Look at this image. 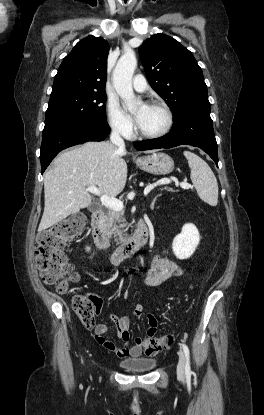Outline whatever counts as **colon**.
<instances>
[{
  "label": "colon",
  "mask_w": 264,
  "mask_h": 415,
  "mask_svg": "<svg viewBox=\"0 0 264 415\" xmlns=\"http://www.w3.org/2000/svg\"><path fill=\"white\" fill-rule=\"evenodd\" d=\"M85 226V217L74 214L56 225L38 232L36 237L35 262L43 281L56 285L63 293L69 283L78 276L68 261L63 249L68 242L78 238ZM72 306L85 327H91L99 313L98 300L91 294L79 293L72 299ZM147 355H158L171 345L170 337L149 335L143 339Z\"/></svg>",
  "instance_id": "colon-1"
}]
</instances>
